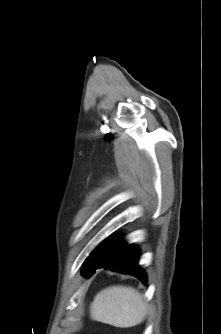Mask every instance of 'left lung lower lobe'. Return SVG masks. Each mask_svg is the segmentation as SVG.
I'll use <instances>...</instances> for the list:
<instances>
[{
	"label": "left lung lower lobe",
	"instance_id": "left-lung-lower-lobe-1",
	"mask_svg": "<svg viewBox=\"0 0 221 334\" xmlns=\"http://www.w3.org/2000/svg\"><path fill=\"white\" fill-rule=\"evenodd\" d=\"M138 257L136 247L124 244L121 236L113 235L94 250L93 263L83 268L82 275L90 277L96 269L104 268L131 274L146 284L147 276L138 266Z\"/></svg>",
	"mask_w": 221,
	"mask_h": 334
}]
</instances>
